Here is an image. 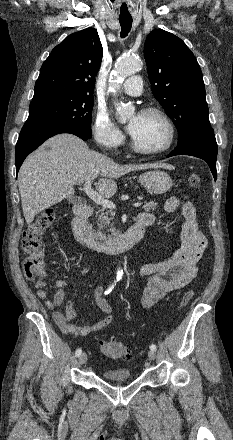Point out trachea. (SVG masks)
<instances>
[{
    "label": "trachea",
    "instance_id": "1",
    "mask_svg": "<svg viewBox=\"0 0 233 440\" xmlns=\"http://www.w3.org/2000/svg\"><path fill=\"white\" fill-rule=\"evenodd\" d=\"M120 25H121V32H120V36L121 38H125L128 33L131 30V26H132V19L128 18V19H119Z\"/></svg>",
    "mask_w": 233,
    "mask_h": 440
}]
</instances>
